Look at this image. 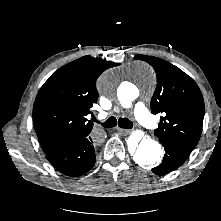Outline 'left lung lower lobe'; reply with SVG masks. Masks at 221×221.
<instances>
[{"instance_id": "1", "label": "left lung lower lobe", "mask_w": 221, "mask_h": 221, "mask_svg": "<svg viewBox=\"0 0 221 221\" xmlns=\"http://www.w3.org/2000/svg\"><path fill=\"white\" fill-rule=\"evenodd\" d=\"M162 145L166 150L164 159L159 166L152 169V172L158 175H164L177 169L186 161L192 152V150L187 147L169 142H164Z\"/></svg>"}]
</instances>
